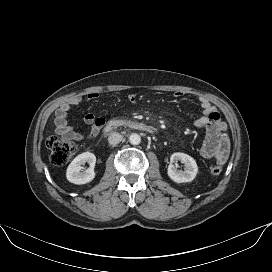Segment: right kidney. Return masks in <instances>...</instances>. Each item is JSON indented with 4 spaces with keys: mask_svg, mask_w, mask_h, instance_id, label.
I'll use <instances>...</instances> for the list:
<instances>
[{
    "mask_svg": "<svg viewBox=\"0 0 272 272\" xmlns=\"http://www.w3.org/2000/svg\"><path fill=\"white\" fill-rule=\"evenodd\" d=\"M89 163V168L81 172V165ZM96 157L93 153L84 152L73 159L66 170V178L69 182L81 185L91 182L95 178L94 166Z\"/></svg>",
    "mask_w": 272,
    "mask_h": 272,
    "instance_id": "right-kidney-1",
    "label": "right kidney"
}]
</instances>
